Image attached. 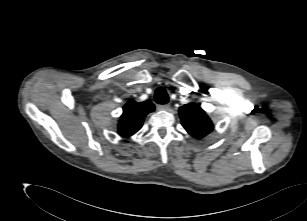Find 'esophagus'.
<instances>
[{"label": "esophagus", "mask_w": 307, "mask_h": 221, "mask_svg": "<svg viewBox=\"0 0 307 221\" xmlns=\"http://www.w3.org/2000/svg\"><path fill=\"white\" fill-rule=\"evenodd\" d=\"M157 109L159 111H167V110L170 109V106L167 105V104H159V105H157Z\"/></svg>", "instance_id": "obj_1"}]
</instances>
